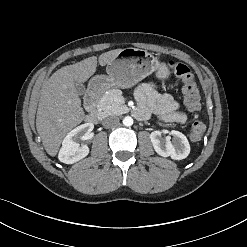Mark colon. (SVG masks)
<instances>
[{
	"label": "colon",
	"instance_id": "colon-1",
	"mask_svg": "<svg viewBox=\"0 0 247 247\" xmlns=\"http://www.w3.org/2000/svg\"><path fill=\"white\" fill-rule=\"evenodd\" d=\"M169 67L182 82L184 101L188 110L194 113L198 112L200 110V95L191 70L185 64L174 61L169 62ZM205 129V124L196 119L190 131V139L195 143L200 142Z\"/></svg>",
	"mask_w": 247,
	"mask_h": 247
}]
</instances>
